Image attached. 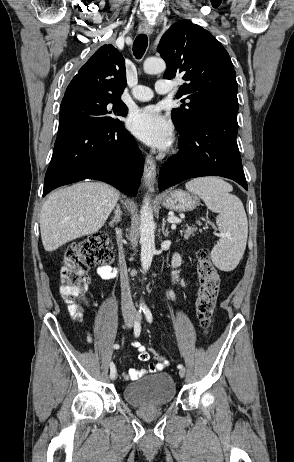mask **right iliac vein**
I'll use <instances>...</instances> for the list:
<instances>
[{
  "label": "right iliac vein",
  "mask_w": 294,
  "mask_h": 462,
  "mask_svg": "<svg viewBox=\"0 0 294 462\" xmlns=\"http://www.w3.org/2000/svg\"><path fill=\"white\" fill-rule=\"evenodd\" d=\"M133 321H134V317L133 315H127L124 317V322H125V326L126 328H131L133 326ZM116 375L111 378L112 380H115L116 379Z\"/></svg>",
  "instance_id": "obj_1"
}]
</instances>
